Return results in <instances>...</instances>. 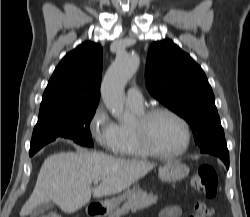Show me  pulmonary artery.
Segmentation results:
<instances>
[{
    "mask_svg": "<svg viewBox=\"0 0 250 217\" xmlns=\"http://www.w3.org/2000/svg\"><path fill=\"white\" fill-rule=\"evenodd\" d=\"M127 102L131 107L142 108L144 97L139 87L131 86L127 90Z\"/></svg>",
    "mask_w": 250,
    "mask_h": 217,
    "instance_id": "e3ab8cb5",
    "label": "pulmonary artery"
}]
</instances>
